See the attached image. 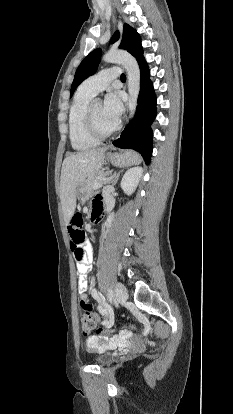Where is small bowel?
I'll list each match as a JSON object with an SVG mask.
<instances>
[{
	"instance_id": "obj_1",
	"label": "small bowel",
	"mask_w": 233,
	"mask_h": 414,
	"mask_svg": "<svg viewBox=\"0 0 233 414\" xmlns=\"http://www.w3.org/2000/svg\"><path fill=\"white\" fill-rule=\"evenodd\" d=\"M100 208L99 202L95 201L94 209ZM85 256L82 260H78L74 254L76 260V267L78 271V291L82 297V299L87 298L86 292L89 291L95 301L98 303L96 305V310L100 311L102 314H108L110 311L113 310L112 304H106L105 300L98 292L95 284H89L87 281V274L89 273L92 265V248L90 244L85 243L84 245ZM95 337H92L90 343H93Z\"/></svg>"
}]
</instances>
